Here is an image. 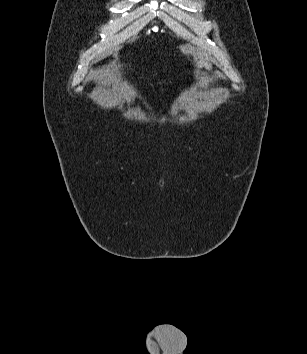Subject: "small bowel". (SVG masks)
I'll list each match as a JSON object with an SVG mask.
<instances>
[{
	"label": "small bowel",
	"mask_w": 307,
	"mask_h": 354,
	"mask_svg": "<svg viewBox=\"0 0 307 354\" xmlns=\"http://www.w3.org/2000/svg\"><path fill=\"white\" fill-rule=\"evenodd\" d=\"M193 62L199 68L212 69V63L209 60L205 59L204 57L196 56Z\"/></svg>",
	"instance_id": "1"
}]
</instances>
